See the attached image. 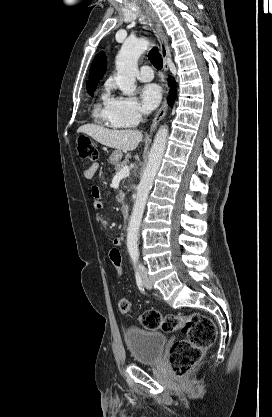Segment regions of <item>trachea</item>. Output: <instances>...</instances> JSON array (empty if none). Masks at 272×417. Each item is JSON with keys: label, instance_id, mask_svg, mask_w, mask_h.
<instances>
[{"label": "trachea", "instance_id": "3493384b", "mask_svg": "<svg viewBox=\"0 0 272 417\" xmlns=\"http://www.w3.org/2000/svg\"><path fill=\"white\" fill-rule=\"evenodd\" d=\"M148 58L151 61V63L153 64V66L156 69H162L163 67V60L160 56V54L158 53L156 48H153L149 54H148Z\"/></svg>", "mask_w": 272, "mask_h": 417}]
</instances>
